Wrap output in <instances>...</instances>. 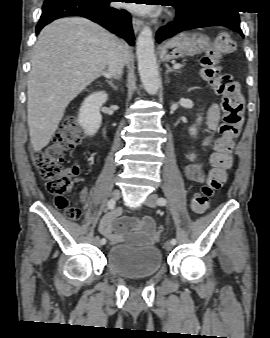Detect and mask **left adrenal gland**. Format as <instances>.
<instances>
[{
  "label": "left adrenal gland",
  "instance_id": "left-adrenal-gland-1",
  "mask_svg": "<svg viewBox=\"0 0 270 338\" xmlns=\"http://www.w3.org/2000/svg\"><path fill=\"white\" fill-rule=\"evenodd\" d=\"M165 66H166V74L174 71L168 64H166Z\"/></svg>",
  "mask_w": 270,
  "mask_h": 338
}]
</instances>
